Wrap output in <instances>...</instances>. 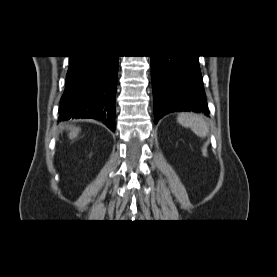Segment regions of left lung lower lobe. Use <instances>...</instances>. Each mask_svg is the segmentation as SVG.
Here are the masks:
<instances>
[{"instance_id": "1", "label": "left lung lower lobe", "mask_w": 277, "mask_h": 277, "mask_svg": "<svg viewBox=\"0 0 277 277\" xmlns=\"http://www.w3.org/2000/svg\"><path fill=\"white\" fill-rule=\"evenodd\" d=\"M151 77L155 124L170 112L208 115L198 56H151Z\"/></svg>"}]
</instances>
